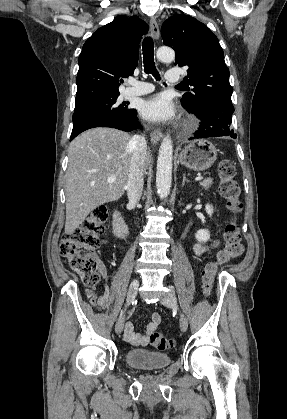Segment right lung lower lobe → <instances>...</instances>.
<instances>
[{
	"mask_svg": "<svg viewBox=\"0 0 287 419\" xmlns=\"http://www.w3.org/2000/svg\"><path fill=\"white\" fill-rule=\"evenodd\" d=\"M140 126L137 118V111L134 109L132 114L127 117L100 116L89 119L77 127L73 128L70 141L81 132L95 127H111L123 131H132Z\"/></svg>",
	"mask_w": 287,
	"mask_h": 419,
	"instance_id": "obj_1",
	"label": "right lung lower lobe"
}]
</instances>
